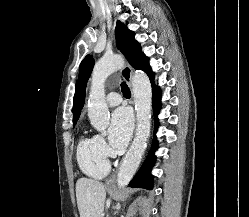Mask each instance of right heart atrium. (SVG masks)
<instances>
[{
  "label": "right heart atrium",
  "mask_w": 249,
  "mask_h": 217,
  "mask_svg": "<svg viewBox=\"0 0 249 217\" xmlns=\"http://www.w3.org/2000/svg\"><path fill=\"white\" fill-rule=\"evenodd\" d=\"M95 140H96V144H97L99 151L105 158H107L110 155V149L106 141L100 135H96Z\"/></svg>",
  "instance_id": "right-heart-atrium-1"
}]
</instances>
